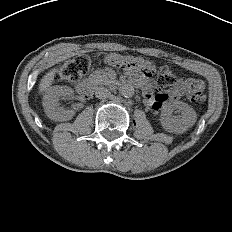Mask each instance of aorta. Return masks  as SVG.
Wrapping results in <instances>:
<instances>
[{
  "label": "aorta",
  "mask_w": 232,
  "mask_h": 232,
  "mask_svg": "<svg viewBox=\"0 0 232 232\" xmlns=\"http://www.w3.org/2000/svg\"><path fill=\"white\" fill-rule=\"evenodd\" d=\"M119 92H120L121 96H123L125 98H131V97H133V95L135 93V89L132 85L125 84L120 88Z\"/></svg>",
  "instance_id": "1"
}]
</instances>
